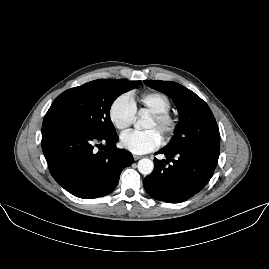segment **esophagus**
<instances>
[{
  "label": "esophagus",
  "instance_id": "34e87169",
  "mask_svg": "<svg viewBox=\"0 0 269 269\" xmlns=\"http://www.w3.org/2000/svg\"><path fill=\"white\" fill-rule=\"evenodd\" d=\"M133 158L135 161L139 160L142 158V156H139V155H133Z\"/></svg>",
  "mask_w": 269,
  "mask_h": 269
}]
</instances>
